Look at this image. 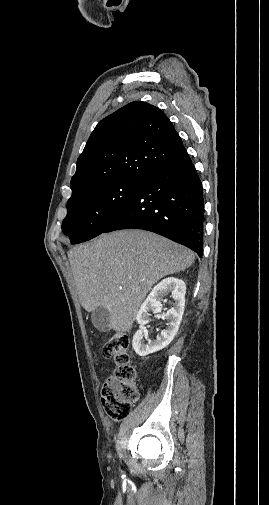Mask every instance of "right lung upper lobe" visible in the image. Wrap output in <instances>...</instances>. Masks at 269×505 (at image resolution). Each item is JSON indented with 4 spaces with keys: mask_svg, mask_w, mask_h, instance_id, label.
Returning <instances> with one entry per match:
<instances>
[{
    "mask_svg": "<svg viewBox=\"0 0 269 505\" xmlns=\"http://www.w3.org/2000/svg\"><path fill=\"white\" fill-rule=\"evenodd\" d=\"M185 152L180 136L159 108L131 102L101 120L92 132L71 179L72 196L108 182H142Z\"/></svg>",
    "mask_w": 269,
    "mask_h": 505,
    "instance_id": "cb5924a9",
    "label": "right lung upper lobe"
}]
</instances>
